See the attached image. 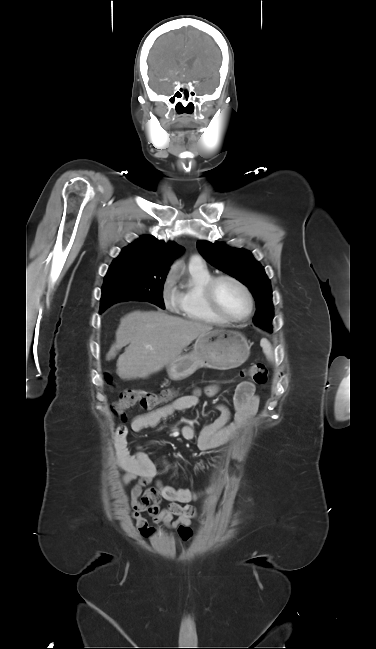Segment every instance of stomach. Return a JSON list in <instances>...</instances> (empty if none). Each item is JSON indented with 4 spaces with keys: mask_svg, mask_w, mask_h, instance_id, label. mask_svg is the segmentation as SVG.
<instances>
[{
    "mask_svg": "<svg viewBox=\"0 0 376 649\" xmlns=\"http://www.w3.org/2000/svg\"><path fill=\"white\" fill-rule=\"evenodd\" d=\"M249 354L250 347L241 333L210 330L197 337L192 352L170 361L167 372L172 380L180 381L203 367L217 370L238 367L246 362Z\"/></svg>",
    "mask_w": 376,
    "mask_h": 649,
    "instance_id": "1",
    "label": "stomach"
}]
</instances>
